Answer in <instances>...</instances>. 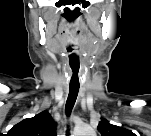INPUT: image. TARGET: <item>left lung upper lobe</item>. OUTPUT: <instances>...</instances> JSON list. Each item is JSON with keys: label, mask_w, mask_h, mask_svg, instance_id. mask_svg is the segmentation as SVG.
Here are the masks:
<instances>
[{"label": "left lung upper lobe", "mask_w": 151, "mask_h": 136, "mask_svg": "<svg viewBox=\"0 0 151 136\" xmlns=\"http://www.w3.org/2000/svg\"><path fill=\"white\" fill-rule=\"evenodd\" d=\"M98 131L102 136H128L130 133V131L124 128L110 124L109 121L105 119L99 122Z\"/></svg>", "instance_id": "left-lung-upper-lobe-1"}]
</instances>
